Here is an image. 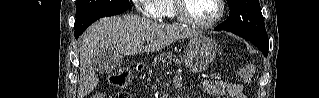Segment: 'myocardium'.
I'll return each mask as SVG.
<instances>
[{
  "label": "myocardium",
  "instance_id": "f54148a6",
  "mask_svg": "<svg viewBox=\"0 0 319 98\" xmlns=\"http://www.w3.org/2000/svg\"><path fill=\"white\" fill-rule=\"evenodd\" d=\"M173 2H174L175 14H176L177 19L180 22H182L188 26L195 27V28H210V27L214 26L216 23H218L221 20V18L224 15V11H225L224 1L223 0H216V3L218 5L217 14L212 19H210L208 21H199V20L192 19L185 14L183 0H175Z\"/></svg>",
  "mask_w": 319,
  "mask_h": 98
}]
</instances>
